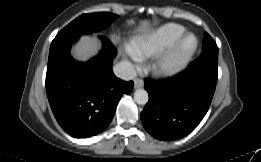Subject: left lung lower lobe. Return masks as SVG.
<instances>
[{"instance_id": "left-lung-lower-lobe-1", "label": "left lung lower lobe", "mask_w": 261, "mask_h": 162, "mask_svg": "<svg viewBox=\"0 0 261 162\" xmlns=\"http://www.w3.org/2000/svg\"><path fill=\"white\" fill-rule=\"evenodd\" d=\"M217 78L218 53L203 52L174 77L144 80L149 101L141 113V121L146 131L161 141L188 135L207 113Z\"/></svg>"}]
</instances>
